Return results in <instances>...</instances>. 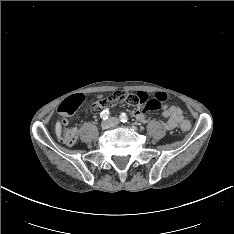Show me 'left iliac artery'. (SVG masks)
I'll return each mask as SVG.
<instances>
[{
  "label": "left iliac artery",
  "instance_id": "44dca946",
  "mask_svg": "<svg viewBox=\"0 0 234 234\" xmlns=\"http://www.w3.org/2000/svg\"><path fill=\"white\" fill-rule=\"evenodd\" d=\"M120 121L123 122V123L128 121V117H127V115L125 113H122L120 115Z\"/></svg>",
  "mask_w": 234,
  "mask_h": 234
}]
</instances>
